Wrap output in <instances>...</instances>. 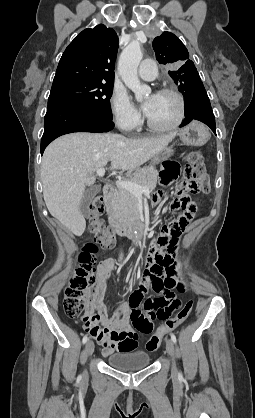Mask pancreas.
I'll use <instances>...</instances> for the list:
<instances>
[{
	"label": "pancreas",
	"mask_w": 255,
	"mask_h": 418,
	"mask_svg": "<svg viewBox=\"0 0 255 418\" xmlns=\"http://www.w3.org/2000/svg\"><path fill=\"white\" fill-rule=\"evenodd\" d=\"M157 170L152 167H143L136 171L128 181L137 183L152 191L157 184ZM110 211L119 219L135 218L138 215V200L128 190L118 187L109 202Z\"/></svg>",
	"instance_id": "pancreas-1"
}]
</instances>
